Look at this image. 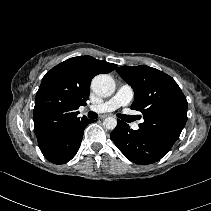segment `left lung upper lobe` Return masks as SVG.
<instances>
[{
    "instance_id": "5c2ea615",
    "label": "left lung upper lobe",
    "mask_w": 211,
    "mask_h": 211,
    "mask_svg": "<svg viewBox=\"0 0 211 211\" xmlns=\"http://www.w3.org/2000/svg\"><path fill=\"white\" fill-rule=\"evenodd\" d=\"M117 72L134 90L131 109L143 114L140 129L171 149L187 121V100L177 83L146 65L122 66Z\"/></svg>"
}]
</instances>
